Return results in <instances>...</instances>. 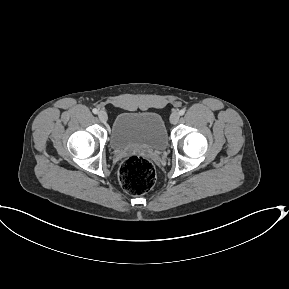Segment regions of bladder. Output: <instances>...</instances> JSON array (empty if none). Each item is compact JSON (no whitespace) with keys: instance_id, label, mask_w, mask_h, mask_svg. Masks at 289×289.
Here are the masks:
<instances>
[{"instance_id":"bladder-1","label":"bladder","mask_w":289,"mask_h":289,"mask_svg":"<svg viewBox=\"0 0 289 289\" xmlns=\"http://www.w3.org/2000/svg\"><path fill=\"white\" fill-rule=\"evenodd\" d=\"M109 143L116 151L128 148L163 151L168 144V135L158 113L126 111L115 118Z\"/></svg>"}]
</instances>
